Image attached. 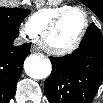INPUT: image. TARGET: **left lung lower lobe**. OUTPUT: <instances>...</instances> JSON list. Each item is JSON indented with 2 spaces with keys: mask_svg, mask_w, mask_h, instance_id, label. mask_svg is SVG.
I'll return each instance as SVG.
<instances>
[{
  "mask_svg": "<svg viewBox=\"0 0 103 103\" xmlns=\"http://www.w3.org/2000/svg\"><path fill=\"white\" fill-rule=\"evenodd\" d=\"M51 75L44 83L49 103H90L103 78V35L92 23L72 54L50 57Z\"/></svg>",
  "mask_w": 103,
  "mask_h": 103,
  "instance_id": "obj_1",
  "label": "left lung lower lobe"
}]
</instances>
